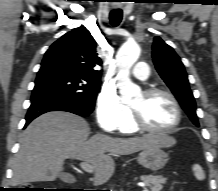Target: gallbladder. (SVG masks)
I'll return each instance as SVG.
<instances>
[{
  "label": "gallbladder",
  "mask_w": 218,
  "mask_h": 191,
  "mask_svg": "<svg viewBox=\"0 0 218 191\" xmlns=\"http://www.w3.org/2000/svg\"><path fill=\"white\" fill-rule=\"evenodd\" d=\"M63 177H64V176H63V175H61V178H63ZM65 180H67V181H68V180H69V177H67Z\"/></svg>",
  "instance_id": "gallbladder-1"
}]
</instances>
